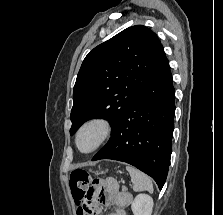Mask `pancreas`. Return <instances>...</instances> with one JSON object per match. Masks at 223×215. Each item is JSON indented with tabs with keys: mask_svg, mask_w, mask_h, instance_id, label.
<instances>
[{
	"mask_svg": "<svg viewBox=\"0 0 223 215\" xmlns=\"http://www.w3.org/2000/svg\"><path fill=\"white\" fill-rule=\"evenodd\" d=\"M122 191H127V187H122Z\"/></svg>",
	"mask_w": 223,
	"mask_h": 215,
	"instance_id": "obj_1",
	"label": "pancreas"
}]
</instances>
